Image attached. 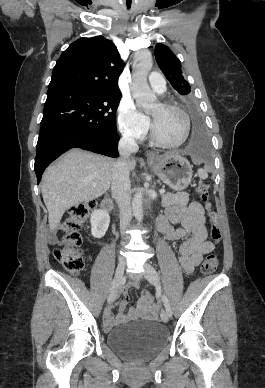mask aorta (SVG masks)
Returning <instances> with one entry per match:
<instances>
[{
  "instance_id": "obj_1",
  "label": "aorta",
  "mask_w": 265,
  "mask_h": 388,
  "mask_svg": "<svg viewBox=\"0 0 265 388\" xmlns=\"http://www.w3.org/2000/svg\"><path fill=\"white\" fill-rule=\"evenodd\" d=\"M151 68V53L149 51L138 52L133 63L131 90L137 104L144 109L150 108L156 100V96L147 82V75ZM142 200L143 194L141 191L137 192L132 200L133 214L138 222H141L143 219Z\"/></svg>"
}]
</instances>
